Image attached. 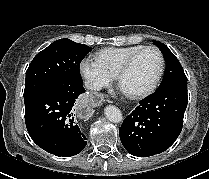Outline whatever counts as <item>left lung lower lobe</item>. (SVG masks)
Listing matches in <instances>:
<instances>
[{"mask_svg":"<svg viewBox=\"0 0 209 179\" xmlns=\"http://www.w3.org/2000/svg\"><path fill=\"white\" fill-rule=\"evenodd\" d=\"M187 103V81L157 89L141 100L119 128L125 149L137 157H148L167 150L182 130Z\"/></svg>","mask_w":209,"mask_h":179,"instance_id":"left-lung-lower-lobe-1","label":"left lung lower lobe"}]
</instances>
